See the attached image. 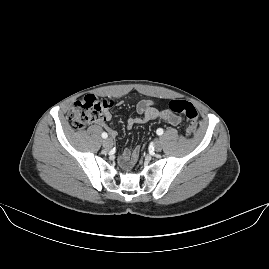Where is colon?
<instances>
[{"label":"colon","mask_w":269,"mask_h":269,"mask_svg":"<svg viewBox=\"0 0 269 269\" xmlns=\"http://www.w3.org/2000/svg\"><path fill=\"white\" fill-rule=\"evenodd\" d=\"M114 105L115 100L112 97H107L102 101L93 94H89L75 102L68 116L73 127L81 130L89 124L100 121L103 115H108ZM168 108L174 113L184 114L187 122L189 121L188 125L190 127L195 126V119L198 118V113L190 102L183 99H172L168 103ZM189 126L184 130V137L187 138L192 136Z\"/></svg>","instance_id":"colon-1"}]
</instances>
